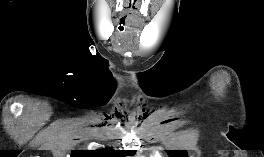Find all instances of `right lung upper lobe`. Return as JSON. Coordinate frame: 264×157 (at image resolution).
<instances>
[{
    "instance_id": "obj_1",
    "label": "right lung upper lobe",
    "mask_w": 264,
    "mask_h": 157,
    "mask_svg": "<svg viewBox=\"0 0 264 157\" xmlns=\"http://www.w3.org/2000/svg\"><path fill=\"white\" fill-rule=\"evenodd\" d=\"M133 150H113L112 148L76 151L73 150L71 157H126L134 154Z\"/></svg>"
}]
</instances>
